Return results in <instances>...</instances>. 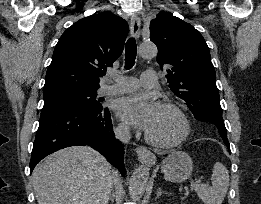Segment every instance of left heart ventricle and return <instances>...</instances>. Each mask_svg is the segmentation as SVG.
<instances>
[{"label":"left heart ventricle","instance_id":"1","mask_svg":"<svg viewBox=\"0 0 261 204\" xmlns=\"http://www.w3.org/2000/svg\"><path fill=\"white\" fill-rule=\"evenodd\" d=\"M182 130L178 116L170 109L156 107L150 127L146 131L158 141H171L177 138Z\"/></svg>","mask_w":261,"mask_h":204}]
</instances>
